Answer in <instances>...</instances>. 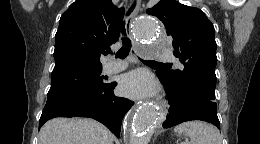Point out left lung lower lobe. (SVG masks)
Returning a JSON list of instances; mask_svg holds the SVG:
<instances>
[{
  "label": "left lung lower lobe",
  "mask_w": 260,
  "mask_h": 144,
  "mask_svg": "<svg viewBox=\"0 0 260 144\" xmlns=\"http://www.w3.org/2000/svg\"><path fill=\"white\" fill-rule=\"evenodd\" d=\"M157 76L166 88L170 104L163 128L192 120L207 121L220 128L214 91L200 87L194 82L175 88L162 74L157 72Z\"/></svg>",
  "instance_id": "left-lung-lower-lobe-1"
}]
</instances>
